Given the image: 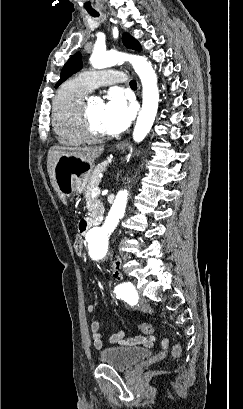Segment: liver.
Returning a JSON list of instances; mask_svg holds the SVG:
<instances>
[{"mask_svg":"<svg viewBox=\"0 0 243 409\" xmlns=\"http://www.w3.org/2000/svg\"><path fill=\"white\" fill-rule=\"evenodd\" d=\"M103 151L104 148L102 146H85L72 148L55 145L50 148L47 157V170L49 177L51 179V184L64 204H66V197L58 190L55 181L54 165L59 159V157L62 155L75 156L82 159L83 161L93 163L94 160L97 159L102 154Z\"/></svg>","mask_w":243,"mask_h":409,"instance_id":"liver-1","label":"liver"}]
</instances>
